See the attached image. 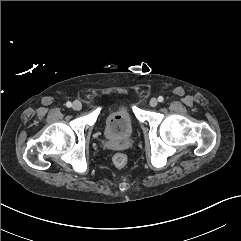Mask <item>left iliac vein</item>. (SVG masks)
<instances>
[{
    "instance_id": "left-iliac-vein-1",
    "label": "left iliac vein",
    "mask_w": 241,
    "mask_h": 241,
    "mask_svg": "<svg viewBox=\"0 0 241 241\" xmlns=\"http://www.w3.org/2000/svg\"><path fill=\"white\" fill-rule=\"evenodd\" d=\"M157 104H158V101H157L156 98H152V99L150 100V106H152V107H156Z\"/></svg>"
}]
</instances>
